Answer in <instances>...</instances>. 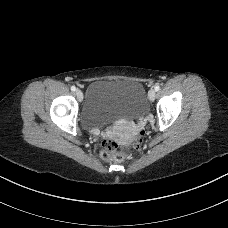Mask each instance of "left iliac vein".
Here are the masks:
<instances>
[{
    "mask_svg": "<svg viewBox=\"0 0 228 228\" xmlns=\"http://www.w3.org/2000/svg\"><path fill=\"white\" fill-rule=\"evenodd\" d=\"M155 97H156V92H155V90L151 89L148 92V98H149L150 101H154L155 100Z\"/></svg>",
    "mask_w": 228,
    "mask_h": 228,
    "instance_id": "left-iliac-vein-1",
    "label": "left iliac vein"
}]
</instances>
